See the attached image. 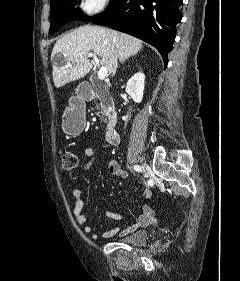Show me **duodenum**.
Segmentation results:
<instances>
[{
	"instance_id": "1",
	"label": "duodenum",
	"mask_w": 240,
	"mask_h": 281,
	"mask_svg": "<svg viewBox=\"0 0 240 281\" xmlns=\"http://www.w3.org/2000/svg\"><path fill=\"white\" fill-rule=\"evenodd\" d=\"M80 95L84 99H90L93 95V90L89 86L83 87L80 90ZM105 139L111 145H115L119 143L120 136L117 130L115 118H112L107 125L106 132H105Z\"/></svg>"
}]
</instances>
